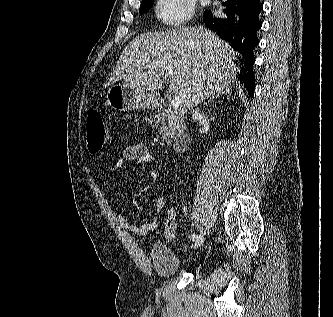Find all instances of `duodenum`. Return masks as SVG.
<instances>
[{
	"mask_svg": "<svg viewBox=\"0 0 333 317\" xmlns=\"http://www.w3.org/2000/svg\"><path fill=\"white\" fill-rule=\"evenodd\" d=\"M151 103L156 107H164L165 101L161 96H153ZM189 142V135L186 131L178 132L172 140V147L176 153H182L186 150Z\"/></svg>",
	"mask_w": 333,
	"mask_h": 317,
	"instance_id": "410a0bca",
	"label": "duodenum"
}]
</instances>
